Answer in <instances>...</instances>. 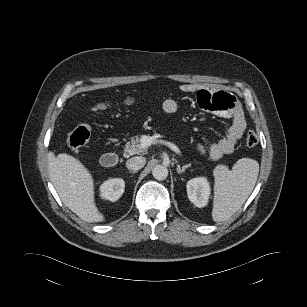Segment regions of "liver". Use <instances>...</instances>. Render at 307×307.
<instances>
[{"label":"liver","mask_w":307,"mask_h":307,"mask_svg":"<svg viewBox=\"0 0 307 307\" xmlns=\"http://www.w3.org/2000/svg\"><path fill=\"white\" fill-rule=\"evenodd\" d=\"M50 180L66 207L83 221L102 222L104 216L95 204L90 172L75 157L62 153L47 154Z\"/></svg>","instance_id":"6515ba94"}]
</instances>
